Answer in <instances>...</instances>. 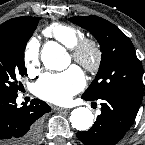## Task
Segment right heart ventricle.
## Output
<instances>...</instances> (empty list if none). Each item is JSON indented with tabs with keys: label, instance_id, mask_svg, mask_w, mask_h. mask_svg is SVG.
Returning a JSON list of instances; mask_svg holds the SVG:
<instances>
[{
	"label": "right heart ventricle",
	"instance_id": "1",
	"mask_svg": "<svg viewBox=\"0 0 145 145\" xmlns=\"http://www.w3.org/2000/svg\"><path fill=\"white\" fill-rule=\"evenodd\" d=\"M43 33L67 48H72L79 40L84 38V32L80 28L66 23L50 24L43 30Z\"/></svg>",
	"mask_w": 145,
	"mask_h": 145
}]
</instances>
